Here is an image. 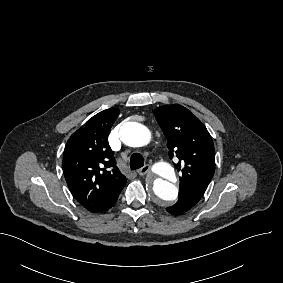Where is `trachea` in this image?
<instances>
[{
  "label": "trachea",
  "instance_id": "trachea-1",
  "mask_svg": "<svg viewBox=\"0 0 283 283\" xmlns=\"http://www.w3.org/2000/svg\"><path fill=\"white\" fill-rule=\"evenodd\" d=\"M144 165V157L139 153H134L130 158V168L132 170L139 169Z\"/></svg>",
  "mask_w": 283,
  "mask_h": 283
}]
</instances>
